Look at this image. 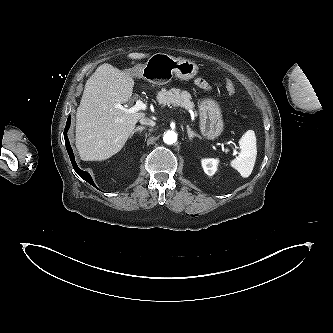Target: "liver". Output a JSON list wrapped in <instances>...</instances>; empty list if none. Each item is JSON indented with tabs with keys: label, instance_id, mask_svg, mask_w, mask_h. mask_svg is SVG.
I'll list each match as a JSON object with an SVG mask.
<instances>
[{
	"label": "liver",
	"instance_id": "1",
	"mask_svg": "<svg viewBox=\"0 0 333 333\" xmlns=\"http://www.w3.org/2000/svg\"><path fill=\"white\" fill-rule=\"evenodd\" d=\"M133 60L148 54L130 53ZM134 80L127 71L104 63L90 76L76 113V147L83 160L101 161L125 145L143 112L126 113L115 108L130 100Z\"/></svg>",
	"mask_w": 333,
	"mask_h": 333
}]
</instances>
